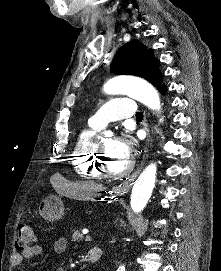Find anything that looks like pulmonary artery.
<instances>
[{
    "label": "pulmonary artery",
    "instance_id": "obj_1",
    "mask_svg": "<svg viewBox=\"0 0 221 271\" xmlns=\"http://www.w3.org/2000/svg\"><path fill=\"white\" fill-rule=\"evenodd\" d=\"M132 98H113L107 102V107H101L93 122H87V127H107V122H121V117H136L135 108L132 107ZM81 138H98V133H81Z\"/></svg>",
    "mask_w": 221,
    "mask_h": 271
}]
</instances>
